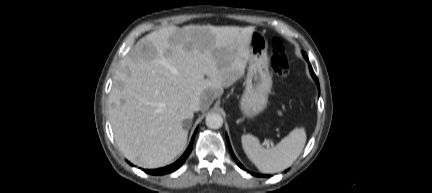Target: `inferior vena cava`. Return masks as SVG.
<instances>
[{"label":"inferior vena cava","instance_id":"inferior-vena-cava-1","mask_svg":"<svg viewBox=\"0 0 432 193\" xmlns=\"http://www.w3.org/2000/svg\"><path fill=\"white\" fill-rule=\"evenodd\" d=\"M190 109L192 111H199L201 109V100L199 97H194L190 102Z\"/></svg>","mask_w":432,"mask_h":193}]
</instances>
